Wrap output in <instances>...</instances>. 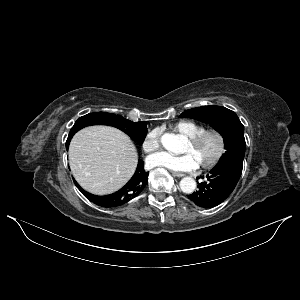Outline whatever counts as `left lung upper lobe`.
Here are the masks:
<instances>
[{
  "label": "left lung upper lobe",
  "mask_w": 300,
  "mask_h": 300,
  "mask_svg": "<svg viewBox=\"0 0 300 300\" xmlns=\"http://www.w3.org/2000/svg\"><path fill=\"white\" fill-rule=\"evenodd\" d=\"M180 117L210 123L221 133L224 139L227 151L221 160L234 158L243 161L246 145L244 126L235 112L225 107L211 105L186 110Z\"/></svg>",
  "instance_id": "left-lung-upper-lobe-1"
}]
</instances>
